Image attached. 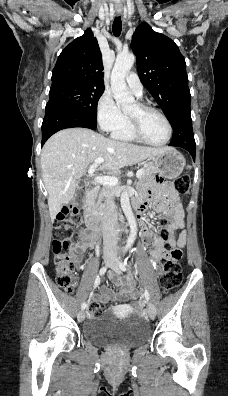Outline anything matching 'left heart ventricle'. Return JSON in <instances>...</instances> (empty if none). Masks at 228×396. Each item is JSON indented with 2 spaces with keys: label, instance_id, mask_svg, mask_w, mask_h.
<instances>
[{
  "label": "left heart ventricle",
  "instance_id": "b2bd125f",
  "mask_svg": "<svg viewBox=\"0 0 228 396\" xmlns=\"http://www.w3.org/2000/svg\"><path fill=\"white\" fill-rule=\"evenodd\" d=\"M128 114L137 122L142 134L148 141L160 143L166 139V124L158 114L144 112L138 104L134 105Z\"/></svg>",
  "mask_w": 228,
  "mask_h": 396
}]
</instances>
